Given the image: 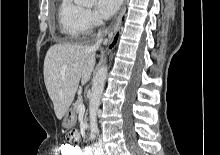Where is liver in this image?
<instances>
[{
	"label": "liver",
	"mask_w": 220,
	"mask_h": 155,
	"mask_svg": "<svg viewBox=\"0 0 220 155\" xmlns=\"http://www.w3.org/2000/svg\"><path fill=\"white\" fill-rule=\"evenodd\" d=\"M95 49L75 44H54L44 60V82L61 120L72 104L79 82L86 84L95 66Z\"/></svg>",
	"instance_id": "liver-1"
}]
</instances>
